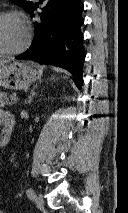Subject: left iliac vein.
Here are the masks:
<instances>
[{
  "instance_id": "obj_1",
  "label": "left iliac vein",
  "mask_w": 128,
  "mask_h": 213,
  "mask_svg": "<svg viewBox=\"0 0 128 213\" xmlns=\"http://www.w3.org/2000/svg\"><path fill=\"white\" fill-rule=\"evenodd\" d=\"M34 201L38 208L42 209L44 207V199L41 195H35Z\"/></svg>"
}]
</instances>
